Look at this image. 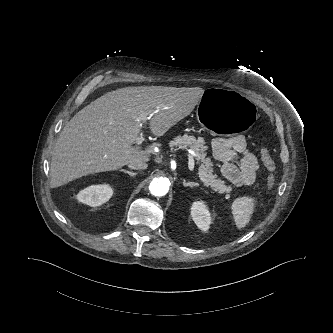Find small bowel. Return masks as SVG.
<instances>
[{"label":"small bowel","instance_id":"c3829d8e","mask_svg":"<svg viewBox=\"0 0 333 333\" xmlns=\"http://www.w3.org/2000/svg\"><path fill=\"white\" fill-rule=\"evenodd\" d=\"M211 148L214 158L220 162L221 173L228 182L237 188L250 187L255 183L260 162L249 151L243 136L216 138Z\"/></svg>","mask_w":333,"mask_h":333}]
</instances>
